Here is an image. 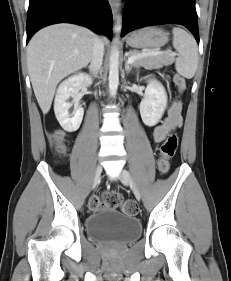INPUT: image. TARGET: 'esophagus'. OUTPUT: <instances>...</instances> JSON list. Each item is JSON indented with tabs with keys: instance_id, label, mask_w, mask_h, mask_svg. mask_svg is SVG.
Returning a JSON list of instances; mask_svg holds the SVG:
<instances>
[{
	"instance_id": "obj_1",
	"label": "esophagus",
	"mask_w": 231,
	"mask_h": 281,
	"mask_svg": "<svg viewBox=\"0 0 231 281\" xmlns=\"http://www.w3.org/2000/svg\"><path fill=\"white\" fill-rule=\"evenodd\" d=\"M109 4L111 6L113 17L117 21V18L119 15V10H120V5H121L120 0H109Z\"/></svg>"
}]
</instances>
